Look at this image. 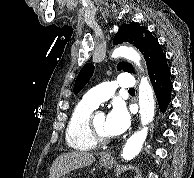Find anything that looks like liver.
<instances>
[{
  "label": "liver",
  "mask_w": 194,
  "mask_h": 178,
  "mask_svg": "<svg viewBox=\"0 0 194 178\" xmlns=\"http://www.w3.org/2000/svg\"><path fill=\"white\" fill-rule=\"evenodd\" d=\"M94 161L93 153L73 151L61 154L52 164L49 178H60L75 169L91 165Z\"/></svg>",
  "instance_id": "obj_1"
}]
</instances>
